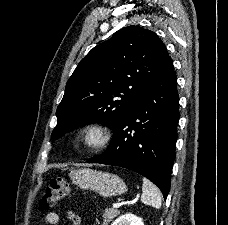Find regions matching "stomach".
I'll use <instances>...</instances> for the list:
<instances>
[{"mask_svg": "<svg viewBox=\"0 0 228 225\" xmlns=\"http://www.w3.org/2000/svg\"><path fill=\"white\" fill-rule=\"evenodd\" d=\"M71 179L74 185L80 189H84V191L89 189V191L99 193L101 197H117L127 191V185L123 179L112 173H104V171L77 169V171H73Z\"/></svg>", "mask_w": 228, "mask_h": 225, "instance_id": "0dacf381", "label": "stomach"}]
</instances>
